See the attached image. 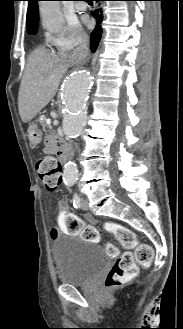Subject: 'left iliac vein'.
<instances>
[{"instance_id":"left-iliac-vein-1","label":"left iliac vein","mask_w":183,"mask_h":329,"mask_svg":"<svg viewBox=\"0 0 183 329\" xmlns=\"http://www.w3.org/2000/svg\"><path fill=\"white\" fill-rule=\"evenodd\" d=\"M81 208H82L83 210H85V211L89 209V205H88V201H87V200L82 199V202H81Z\"/></svg>"}]
</instances>
